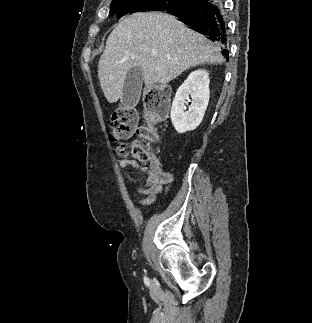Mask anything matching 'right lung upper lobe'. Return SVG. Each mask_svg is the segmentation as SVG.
I'll use <instances>...</instances> for the list:
<instances>
[{"label":"right lung upper lobe","instance_id":"cb5924a9","mask_svg":"<svg viewBox=\"0 0 312 323\" xmlns=\"http://www.w3.org/2000/svg\"><path fill=\"white\" fill-rule=\"evenodd\" d=\"M167 10H169V9H167ZM167 10H160V11H167Z\"/></svg>","mask_w":312,"mask_h":323}]
</instances>
